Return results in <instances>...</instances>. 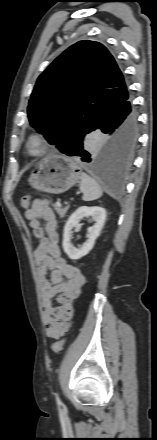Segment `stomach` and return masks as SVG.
<instances>
[{
  "label": "stomach",
  "instance_id": "obj_1",
  "mask_svg": "<svg viewBox=\"0 0 157 440\" xmlns=\"http://www.w3.org/2000/svg\"><path fill=\"white\" fill-rule=\"evenodd\" d=\"M80 166L63 155H52L42 159L32 171L28 182L34 189L60 194L80 180Z\"/></svg>",
  "mask_w": 157,
  "mask_h": 440
}]
</instances>
